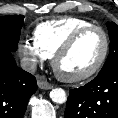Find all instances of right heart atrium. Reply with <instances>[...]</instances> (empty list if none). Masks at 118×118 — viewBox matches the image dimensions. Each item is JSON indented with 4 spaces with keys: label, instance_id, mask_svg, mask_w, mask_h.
Returning <instances> with one entry per match:
<instances>
[{
    "label": "right heart atrium",
    "instance_id": "1",
    "mask_svg": "<svg viewBox=\"0 0 118 118\" xmlns=\"http://www.w3.org/2000/svg\"><path fill=\"white\" fill-rule=\"evenodd\" d=\"M19 54L28 68L43 63L48 57L38 48L34 41L24 40L19 44Z\"/></svg>",
    "mask_w": 118,
    "mask_h": 118
}]
</instances>
